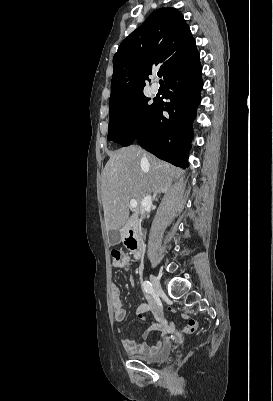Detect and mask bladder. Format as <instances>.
Listing matches in <instances>:
<instances>
[{
	"label": "bladder",
	"mask_w": 273,
	"mask_h": 401,
	"mask_svg": "<svg viewBox=\"0 0 273 401\" xmlns=\"http://www.w3.org/2000/svg\"><path fill=\"white\" fill-rule=\"evenodd\" d=\"M172 355V343L165 341L161 350L154 356H133L134 360L147 363V364H158L167 361Z\"/></svg>",
	"instance_id": "31cf9c89"
}]
</instances>
